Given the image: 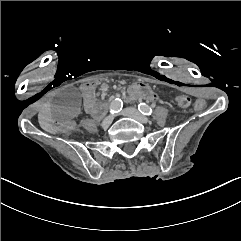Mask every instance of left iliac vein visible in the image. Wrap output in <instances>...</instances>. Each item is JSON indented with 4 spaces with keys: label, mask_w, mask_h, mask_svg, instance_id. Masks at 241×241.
Instances as JSON below:
<instances>
[{
    "label": "left iliac vein",
    "mask_w": 241,
    "mask_h": 241,
    "mask_svg": "<svg viewBox=\"0 0 241 241\" xmlns=\"http://www.w3.org/2000/svg\"><path fill=\"white\" fill-rule=\"evenodd\" d=\"M123 115L133 118L141 123H149V119L142 115L136 108L128 107L121 112Z\"/></svg>",
    "instance_id": "1"
}]
</instances>
